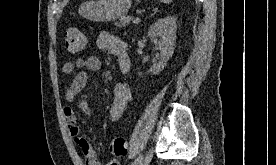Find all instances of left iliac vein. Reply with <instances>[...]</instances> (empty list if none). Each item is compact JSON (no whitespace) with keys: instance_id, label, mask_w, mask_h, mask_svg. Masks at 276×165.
Wrapping results in <instances>:
<instances>
[{"instance_id":"4c4485c4","label":"left iliac vein","mask_w":276,"mask_h":165,"mask_svg":"<svg viewBox=\"0 0 276 165\" xmlns=\"http://www.w3.org/2000/svg\"><path fill=\"white\" fill-rule=\"evenodd\" d=\"M152 156H153V152H152V150H150L148 152V154L146 155V157L141 160V162L139 163V165H149V163H150V161L152 159Z\"/></svg>"}]
</instances>
